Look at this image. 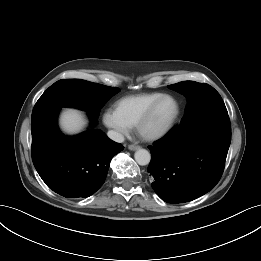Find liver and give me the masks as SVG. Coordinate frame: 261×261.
I'll use <instances>...</instances> for the list:
<instances>
[{
	"mask_svg": "<svg viewBox=\"0 0 261 261\" xmlns=\"http://www.w3.org/2000/svg\"><path fill=\"white\" fill-rule=\"evenodd\" d=\"M87 120L75 109H66L60 117V127L67 134H75L85 128Z\"/></svg>",
	"mask_w": 261,
	"mask_h": 261,
	"instance_id": "obj_1",
	"label": "liver"
}]
</instances>
